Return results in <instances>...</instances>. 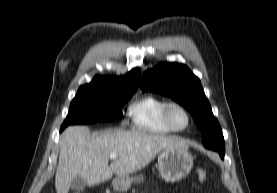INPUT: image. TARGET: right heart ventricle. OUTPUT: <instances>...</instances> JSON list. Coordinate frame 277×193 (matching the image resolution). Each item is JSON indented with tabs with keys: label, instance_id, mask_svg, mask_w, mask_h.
<instances>
[{
	"label": "right heart ventricle",
	"instance_id": "obj_1",
	"mask_svg": "<svg viewBox=\"0 0 277 193\" xmlns=\"http://www.w3.org/2000/svg\"><path fill=\"white\" fill-rule=\"evenodd\" d=\"M168 102L155 95H145L131 103L128 115L132 126L138 131L164 135L172 131L165 125L163 110Z\"/></svg>",
	"mask_w": 277,
	"mask_h": 193
}]
</instances>
